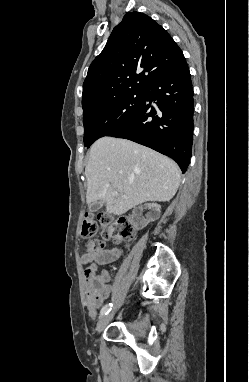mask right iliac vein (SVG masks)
I'll return each mask as SVG.
<instances>
[{
  "mask_svg": "<svg viewBox=\"0 0 249 382\" xmlns=\"http://www.w3.org/2000/svg\"><path fill=\"white\" fill-rule=\"evenodd\" d=\"M113 312L108 314V315H104L102 316L98 323H97V326H96V331L98 333H100L105 327L106 325L110 322V320L113 318Z\"/></svg>",
  "mask_w": 249,
  "mask_h": 382,
  "instance_id": "63e3f726",
  "label": "right iliac vein"
}]
</instances>
